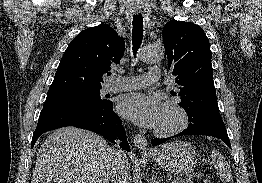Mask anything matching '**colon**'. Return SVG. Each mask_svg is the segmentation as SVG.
I'll return each mask as SVG.
<instances>
[{
    "label": "colon",
    "mask_w": 262,
    "mask_h": 183,
    "mask_svg": "<svg viewBox=\"0 0 262 183\" xmlns=\"http://www.w3.org/2000/svg\"><path fill=\"white\" fill-rule=\"evenodd\" d=\"M204 183H213L210 179H206Z\"/></svg>",
    "instance_id": "1"
}]
</instances>
